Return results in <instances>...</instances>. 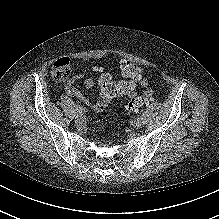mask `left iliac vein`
Wrapping results in <instances>:
<instances>
[{
	"instance_id": "left-iliac-vein-1",
	"label": "left iliac vein",
	"mask_w": 219,
	"mask_h": 219,
	"mask_svg": "<svg viewBox=\"0 0 219 219\" xmlns=\"http://www.w3.org/2000/svg\"><path fill=\"white\" fill-rule=\"evenodd\" d=\"M142 125H143V123H142V121L141 120H135L133 123H132V126H133V128L134 129H140V128H142Z\"/></svg>"
}]
</instances>
